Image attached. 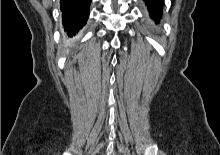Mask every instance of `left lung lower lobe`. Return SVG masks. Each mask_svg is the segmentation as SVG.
Here are the masks:
<instances>
[{"label": "left lung lower lobe", "mask_w": 220, "mask_h": 155, "mask_svg": "<svg viewBox=\"0 0 220 155\" xmlns=\"http://www.w3.org/2000/svg\"><path fill=\"white\" fill-rule=\"evenodd\" d=\"M145 2L148 5V10L151 17L156 23L159 22V17L162 16L163 11V0H145Z\"/></svg>", "instance_id": "1"}]
</instances>
